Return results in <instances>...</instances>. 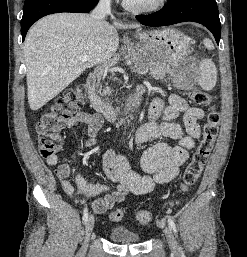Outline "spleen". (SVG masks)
<instances>
[{"instance_id": "obj_1", "label": "spleen", "mask_w": 247, "mask_h": 257, "mask_svg": "<svg viewBox=\"0 0 247 257\" xmlns=\"http://www.w3.org/2000/svg\"><path fill=\"white\" fill-rule=\"evenodd\" d=\"M206 48L212 50L214 45L209 39L203 41ZM197 81L202 89L209 91L214 88L217 81V69L211 59H204L199 66Z\"/></svg>"}]
</instances>
